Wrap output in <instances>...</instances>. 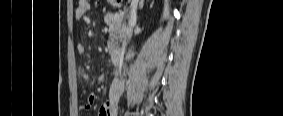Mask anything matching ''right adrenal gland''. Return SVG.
Returning <instances> with one entry per match:
<instances>
[{
    "mask_svg": "<svg viewBox=\"0 0 283 116\" xmlns=\"http://www.w3.org/2000/svg\"><path fill=\"white\" fill-rule=\"evenodd\" d=\"M144 6V0H141L140 3H139V9H142Z\"/></svg>",
    "mask_w": 283,
    "mask_h": 116,
    "instance_id": "obj_1",
    "label": "right adrenal gland"
}]
</instances>
